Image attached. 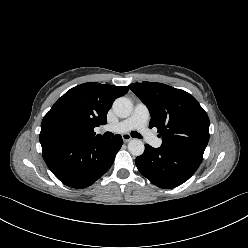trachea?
I'll use <instances>...</instances> for the list:
<instances>
[{"label":"trachea","mask_w":248,"mask_h":248,"mask_svg":"<svg viewBox=\"0 0 248 248\" xmlns=\"http://www.w3.org/2000/svg\"><path fill=\"white\" fill-rule=\"evenodd\" d=\"M112 136H113V133H111V132H105L104 133V137L110 138ZM131 136L132 137H135V138H142V136L139 133H137V132H132L131 133Z\"/></svg>","instance_id":"trachea-1"}]
</instances>
